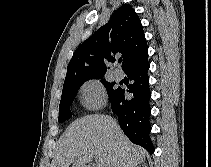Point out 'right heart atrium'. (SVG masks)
I'll return each instance as SVG.
<instances>
[{
    "label": "right heart atrium",
    "instance_id": "right-heart-atrium-1",
    "mask_svg": "<svg viewBox=\"0 0 211 167\" xmlns=\"http://www.w3.org/2000/svg\"><path fill=\"white\" fill-rule=\"evenodd\" d=\"M82 104L89 109H96L103 105L105 93L102 84L95 79L86 81L81 87Z\"/></svg>",
    "mask_w": 211,
    "mask_h": 167
}]
</instances>
